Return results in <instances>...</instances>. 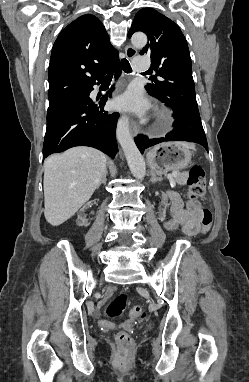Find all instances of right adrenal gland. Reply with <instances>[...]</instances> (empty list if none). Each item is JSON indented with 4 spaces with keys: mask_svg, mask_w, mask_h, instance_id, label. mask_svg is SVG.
<instances>
[{
    "mask_svg": "<svg viewBox=\"0 0 249 382\" xmlns=\"http://www.w3.org/2000/svg\"><path fill=\"white\" fill-rule=\"evenodd\" d=\"M107 172L103 175V177H102V179L100 180V182L98 183V185H97V189L100 187V185L102 184V183H106V176H107Z\"/></svg>",
    "mask_w": 249,
    "mask_h": 382,
    "instance_id": "right-adrenal-gland-1",
    "label": "right adrenal gland"
}]
</instances>
